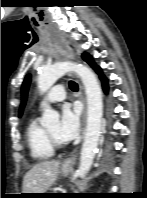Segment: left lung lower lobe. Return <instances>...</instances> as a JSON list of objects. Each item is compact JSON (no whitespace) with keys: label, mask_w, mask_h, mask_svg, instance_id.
I'll return each mask as SVG.
<instances>
[{"label":"left lung lower lobe","mask_w":147,"mask_h":198,"mask_svg":"<svg viewBox=\"0 0 147 198\" xmlns=\"http://www.w3.org/2000/svg\"><path fill=\"white\" fill-rule=\"evenodd\" d=\"M83 59H84L87 63H89V64L92 66V68L100 75V79H101L102 82H103V89H104L105 93H107V91H108L107 80H106V78L104 77V75L102 74V71H101L100 67H98L97 65H95L93 59H92L91 56H89L88 54H85L84 57H83Z\"/></svg>","instance_id":"left-lung-lower-lobe-1"}]
</instances>
